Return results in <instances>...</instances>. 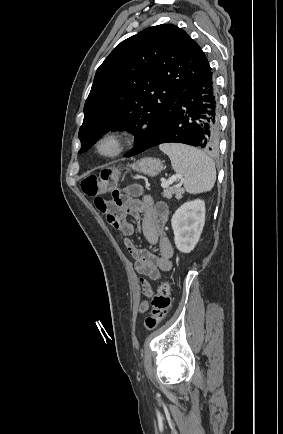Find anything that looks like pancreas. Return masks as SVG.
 Listing matches in <instances>:
<instances>
[{"label": "pancreas", "mask_w": 283, "mask_h": 434, "mask_svg": "<svg viewBox=\"0 0 283 434\" xmlns=\"http://www.w3.org/2000/svg\"><path fill=\"white\" fill-rule=\"evenodd\" d=\"M183 189L182 188H178V187H165L164 191H163V196L166 198H171L172 194L176 195V199H180L182 194H183Z\"/></svg>", "instance_id": "cf45deb5"}]
</instances>
